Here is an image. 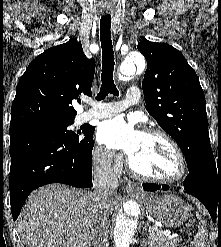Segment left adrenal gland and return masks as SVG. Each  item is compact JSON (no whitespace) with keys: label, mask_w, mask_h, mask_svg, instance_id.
Returning <instances> with one entry per match:
<instances>
[{"label":"left adrenal gland","mask_w":221,"mask_h":247,"mask_svg":"<svg viewBox=\"0 0 221 247\" xmlns=\"http://www.w3.org/2000/svg\"><path fill=\"white\" fill-rule=\"evenodd\" d=\"M147 225H148V223H147ZM146 230H147V226L145 225L144 228H143V231L146 232ZM145 236H146V233H145Z\"/></svg>","instance_id":"obj_1"}]
</instances>
